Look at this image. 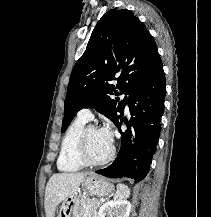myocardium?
Returning <instances> with one entry per match:
<instances>
[{"mask_svg":"<svg viewBox=\"0 0 211 217\" xmlns=\"http://www.w3.org/2000/svg\"><path fill=\"white\" fill-rule=\"evenodd\" d=\"M91 129H97V127H95V126H88V127H85L82 130V132H81V134L79 136V139H78V143H77V149H76L77 157H78L79 161L84 166H92V167H94V166L105 165V164L109 163L114 158L115 152H116L115 146L112 145L109 154L105 158H103L101 160H94V159H92L89 156L88 148H87L88 132Z\"/></svg>","mask_w":211,"mask_h":217,"instance_id":"1","label":"myocardium"}]
</instances>
